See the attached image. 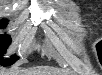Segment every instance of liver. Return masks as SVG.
<instances>
[{"instance_id":"6515ba94","label":"liver","mask_w":102,"mask_h":75,"mask_svg":"<svg viewBox=\"0 0 102 75\" xmlns=\"http://www.w3.org/2000/svg\"><path fill=\"white\" fill-rule=\"evenodd\" d=\"M4 75H62L61 72L49 66H35L24 70L2 72Z\"/></svg>"}]
</instances>
